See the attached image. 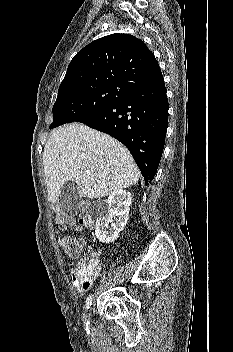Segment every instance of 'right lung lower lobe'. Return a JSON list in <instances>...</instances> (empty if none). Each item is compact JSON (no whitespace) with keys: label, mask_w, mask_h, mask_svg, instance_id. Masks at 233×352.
Listing matches in <instances>:
<instances>
[{"label":"right lung lower lobe","mask_w":233,"mask_h":352,"mask_svg":"<svg viewBox=\"0 0 233 352\" xmlns=\"http://www.w3.org/2000/svg\"><path fill=\"white\" fill-rule=\"evenodd\" d=\"M168 100L163 77L79 122L123 143L139 167L145 185L153 180L165 144Z\"/></svg>","instance_id":"obj_1"}]
</instances>
